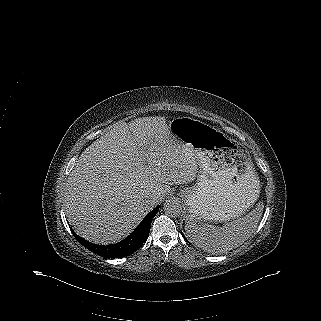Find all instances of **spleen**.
Listing matches in <instances>:
<instances>
[{
	"mask_svg": "<svg viewBox=\"0 0 321 321\" xmlns=\"http://www.w3.org/2000/svg\"><path fill=\"white\" fill-rule=\"evenodd\" d=\"M264 205L259 202L255 209L242 218L214 226L207 221H188L185 230L190 240L199 248L212 254H222L242 245L257 229Z\"/></svg>",
	"mask_w": 321,
	"mask_h": 321,
	"instance_id": "obj_1",
	"label": "spleen"
}]
</instances>
